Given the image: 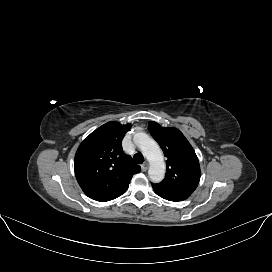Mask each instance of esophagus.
<instances>
[{"label":"esophagus","instance_id":"obj_1","mask_svg":"<svg viewBox=\"0 0 272 272\" xmlns=\"http://www.w3.org/2000/svg\"><path fill=\"white\" fill-rule=\"evenodd\" d=\"M148 166H149L148 162L145 161V162L141 165V168H142L143 171H146V170L148 169Z\"/></svg>","mask_w":272,"mask_h":272}]
</instances>
